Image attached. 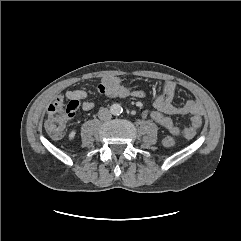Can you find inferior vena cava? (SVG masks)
Listing matches in <instances>:
<instances>
[{
	"label": "inferior vena cava",
	"instance_id": "602c4592",
	"mask_svg": "<svg viewBox=\"0 0 241 241\" xmlns=\"http://www.w3.org/2000/svg\"><path fill=\"white\" fill-rule=\"evenodd\" d=\"M98 117L100 120L107 121L111 119L112 115L107 108H101L98 112Z\"/></svg>",
	"mask_w": 241,
	"mask_h": 241
}]
</instances>
